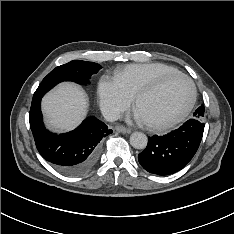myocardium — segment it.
Instances as JSON below:
<instances>
[{
  "label": "myocardium",
  "instance_id": "myocardium-1",
  "mask_svg": "<svg viewBox=\"0 0 234 234\" xmlns=\"http://www.w3.org/2000/svg\"><path fill=\"white\" fill-rule=\"evenodd\" d=\"M175 77H179L182 78L184 80H186L191 88V98L189 103L187 104V106L184 108V110L177 115L176 117L163 121V122H158V123H149L146 122V125L148 126V128H150L151 130L154 131H163V130H167L170 129L174 126H176L177 124H179L180 122H182L191 112V110L193 109L196 99H197V89L195 86V83L193 82V80L186 74L182 73V72H173V73H168L165 74L161 77H159L158 79H156L155 81H153L152 83H150L149 85L143 87L142 89H140L136 95L134 96V106L135 108H137L139 101L155 92L156 90H158L164 83H166L168 80L175 78Z\"/></svg>",
  "mask_w": 234,
  "mask_h": 234
}]
</instances>
